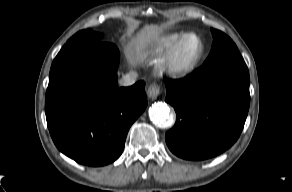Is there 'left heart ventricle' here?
Instances as JSON below:
<instances>
[{
  "instance_id": "left-heart-ventricle-1",
  "label": "left heart ventricle",
  "mask_w": 292,
  "mask_h": 192,
  "mask_svg": "<svg viewBox=\"0 0 292 192\" xmlns=\"http://www.w3.org/2000/svg\"><path fill=\"white\" fill-rule=\"evenodd\" d=\"M199 41L197 38L195 37H191L189 38L183 48H182V52H181V58L183 61H189L190 59H192L196 53L199 50Z\"/></svg>"
}]
</instances>
